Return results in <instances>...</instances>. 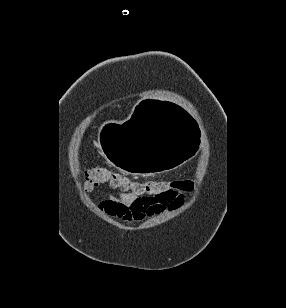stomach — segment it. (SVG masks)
<instances>
[{
	"mask_svg": "<svg viewBox=\"0 0 286 308\" xmlns=\"http://www.w3.org/2000/svg\"><path fill=\"white\" fill-rule=\"evenodd\" d=\"M133 118L106 117L98 122L100 151L106 161L134 177L154 173H179L185 159H196L202 142L200 125H193V112L175 107L166 96L137 100Z\"/></svg>",
	"mask_w": 286,
	"mask_h": 308,
	"instance_id": "obj_1",
	"label": "stomach"
}]
</instances>
